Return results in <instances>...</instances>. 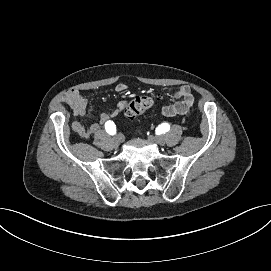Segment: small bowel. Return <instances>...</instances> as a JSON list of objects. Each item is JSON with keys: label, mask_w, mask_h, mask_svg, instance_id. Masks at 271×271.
<instances>
[{"label": "small bowel", "mask_w": 271, "mask_h": 271, "mask_svg": "<svg viewBox=\"0 0 271 271\" xmlns=\"http://www.w3.org/2000/svg\"><path fill=\"white\" fill-rule=\"evenodd\" d=\"M128 90V85L119 83L115 86V91L123 93ZM176 101L173 104L166 105L162 108L161 113L166 117L189 116L194 102V97L189 86L183 85L176 89L174 93ZM62 101L67 104L74 115L81 117L86 112L87 99L76 89L69 90ZM124 101L118 102L110 112L102 113L97 122L91 123L89 126L83 125L80 121L72 122V130L81 138H90L99 131L101 126L105 125L113 117L121 113L125 108Z\"/></svg>", "instance_id": "small-bowel-1"}]
</instances>
